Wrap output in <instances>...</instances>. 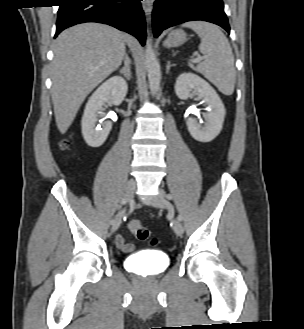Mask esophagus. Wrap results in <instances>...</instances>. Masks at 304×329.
<instances>
[{
  "label": "esophagus",
  "instance_id": "esophagus-1",
  "mask_svg": "<svg viewBox=\"0 0 304 329\" xmlns=\"http://www.w3.org/2000/svg\"><path fill=\"white\" fill-rule=\"evenodd\" d=\"M153 0H143L142 8L148 20H150L152 12Z\"/></svg>",
  "mask_w": 304,
  "mask_h": 329
}]
</instances>
